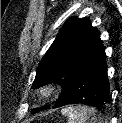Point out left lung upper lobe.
Here are the masks:
<instances>
[{
  "label": "left lung upper lobe",
  "instance_id": "obj_1",
  "mask_svg": "<svg viewBox=\"0 0 122 123\" xmlns=\"http://www.w3.org/2000/svg\"><path fill=\"white\" fill-rule=\"evenodd\" d=\"M103 47L99 31L91 25L89 19L70 18L43 56L32 88L37 89L56 82L62 85V96L72 84L77 73ZM42 109H34L33 112Z\"/></svg>",
  "mask_w": 122,
  "mask_h": 123
}]
</instances>
